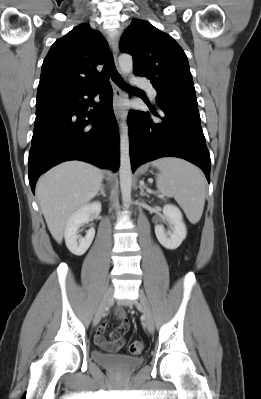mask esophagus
I'll return each instance as SVG.
<instances>
[{"instance_id": "esophagus-1", "label": "esophagus", "mask_w": 261, "mask_h": 399, "mask_svg": "<svg viewBox=\"0 0 261 399\" xmlns=\"http://www.w3.org/2000/svg\"><path fill=\"white\" fill-rule=\"evenodd\" d=\"M109 43L111 46L112 50V56L114 60L115 67L117 71H119L118 68V62H117V57H118V36L116 34L111 35L109 37ZM113 84V92H114V97H113V109L114 113L117 119L118 124L121 126L123 123V114H124V107H123V99H124V94L121 88H119L114 82Z\"/></svg>"}]
</instances>
